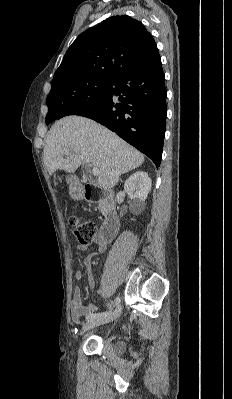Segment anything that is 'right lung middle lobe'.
<instances>
[{
	"label": "right lung middle lobe",
	"instance_id": "dd1d6c3e",
	"mask_svg": "<svg viewBox=\"0 0 232 399\" xmlns=\"http://www.w3.org/2000/svg\"><path fill=\"white\" fill-rule=\"evenodd\" d=\"M110 79H96L79 83L58 94L47 96L46 124L72 108L98 101L108 88Z\"/></svg>",
	"mask_w": 232,
	"mask_h": 399
}]
</instances>
